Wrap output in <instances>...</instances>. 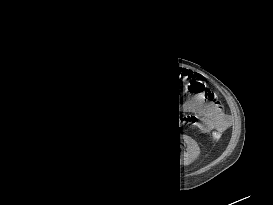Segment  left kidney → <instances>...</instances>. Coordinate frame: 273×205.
<instances>
[{"instance_id": "obj_1", "label": "left kidney", "mask_w": 273, "mask_h": 205, "mask_svg": "<svg viewBox=\"0 0 273 205\" xmlns=\"http://www.w3.org/2000/svg\"><path fill=\"white\" fill-rule=\"evenodd\" d=\"M180 141L184 144L186 151L180 153L181 165H187L192 163L199 153V147L195 140L187 135H180Z\"/></svg>"}]
</instances>
